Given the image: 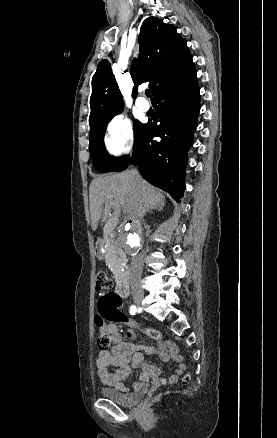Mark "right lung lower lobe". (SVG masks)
Here are the masks:
<instances>
[{
  "label": "right lung lower lobe",
  "mask_w": 277,
  "mask_h": 438,
  "mask_svg": "<svg viewBox=\"0 0 277 438\" xmlns=\"http://www.w3.org/2000/svg\"><path fill=\"white\" fill-rule=\"evenodd\" d=\"M152 104L159 114L160 124H144L134 143L132 158L127 157L114 171L136 164L144 179L179 201L185 189L187 152L193 144L200 111L195 68L162 86L152 97ZM156 136L161 140L156 141Z\"/></svg>",
  "instance_id": "98d812e1"
}]
</instances>
